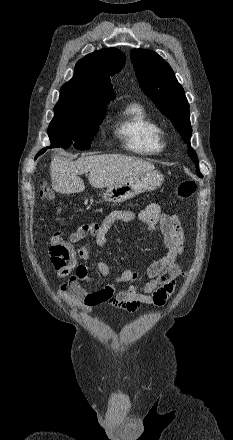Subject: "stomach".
I'll return each instance as SVG.
<instances>
[{
  "label": "stomach",
  "mask_w": 233,
  "mask_h": 440,
  "mask_svg": "<svg viewBox=\"0 0 233 440\" xmlns=\"http://www.w3.org/2000/svg\"><path fill=\"white\" fill-rule=\"evenodd\" d=\"M163 181L164 176L155 170L134 174L108 187L103 195V201L111 203L124 202L140 193L159 188Z\"/></svg>",
  "instance_id": "0dacf381"
}]
</instances>
